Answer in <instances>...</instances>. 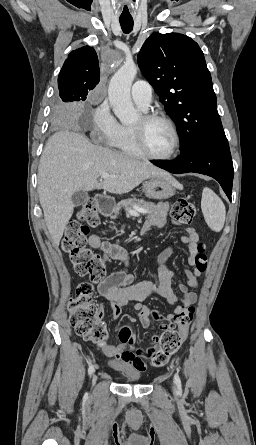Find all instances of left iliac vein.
<instances>
[{"instance_id": "1", "label": "left iliac vein", "mask_w": 256, "mask_h": 445, "mask_svg": "<svg viewBox=\"0 0 256 445\" xmlns=\"http://www.w3.org/2000/svg\"><path fill=\"white\" fill-rule=\"evenodd\" d=\"M172 388H173V391H174V392H177V386H176L175 381H174V384H173V387H172Z\"/></svg>"}]
</instances>
